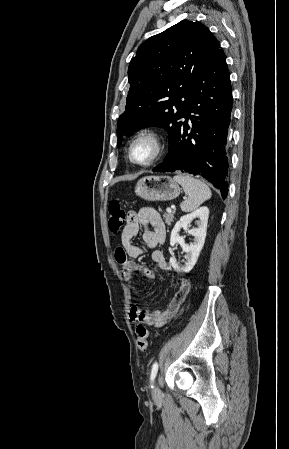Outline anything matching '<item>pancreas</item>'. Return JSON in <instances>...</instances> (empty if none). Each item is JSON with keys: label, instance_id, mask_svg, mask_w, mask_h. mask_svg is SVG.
Masks as SVG:
<instances>
[{"label": "pancreas", "instance_id": "obj_1", "mask_svg": "<svg viewBox=\"0 0 289 449\" xmlns=\"http://www.w3.org/2000/svg\"><path fill=\"white\" fill-rule=\"evenodd\" d=\"M163 218L168 225H171V222L173 221L174 218V212L172 211L170 213H164Z\"/></svg>", "mask_w": 289, "mask_h": 449}]
</instances>
